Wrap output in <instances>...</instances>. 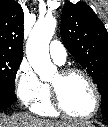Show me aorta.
Here are the masks:
<instances>
[{
    "instance_id": "1",
    "label": "aorta",
    "mask_w": 108,
    "mask_h": 127,
    "mask_svg": "<svg viewBox=\"0 0 108 127\" xmlns=\"http://www.w3.org/2000/svg\"><path fill=\"white\" fill-rule=\"evenodd\" d=\"M56 25L57 21L52 16L38 20L27 41V59L42 81L50 80L56 71L49 55V42L55 32Z\"/></svg>"
}]
</instances>
